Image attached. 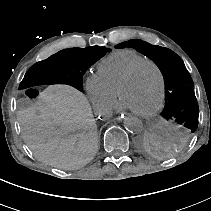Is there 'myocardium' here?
Masks as SVG:
<instances>
[{
    "label": "myocardium",
    "mask_w": 211,
    "mask_h": 211,
    "mask_svg": "<svg viewBox=\"0 0 211 211\" xmlns=\"http://www.w3.org/2000/svg\"><path fill=\"white\" fill-rule=\"evenodd\" d=\"M145 65H151L155 68L158 77H159V83H160V94L158 98V102L156 103L155 107L148 111V112H135L132 111V113L138 117L142 118H150L156 115L159 110L161 109L163 102H164V97H165V77L163 74L162 69L160 66L153 60L150 59H145L141 61L140 63L136 64L134 67H132L117 83L115 93L116 96L122 100L121 97V90L122 88L134 77V75Z\"/></svg>",
    "instance_id": "1"
}]
</instances>
